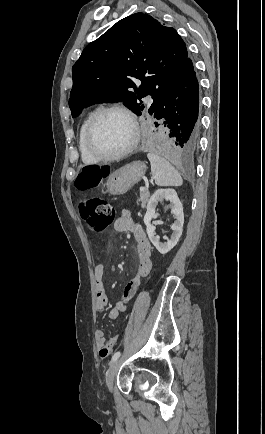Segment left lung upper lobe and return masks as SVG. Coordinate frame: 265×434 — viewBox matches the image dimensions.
Instances as JSON below:
<instances>
[{
    "label": "left lung upper lobe",
    "instance_id": "left-lung-upper-lobe-1",
    "mask_svg": "<svg viewBox=\"0 0 265 434\" xmlns=\"http://www.w3.org/2000/svg\"><path fill=\"white\" fill-rule=\"evenodd\" d=\"M188 57L174 28L141 12L121 19L87 45L73 65L72 117L84 107L104 102H123L141 115V98L147 95L154 100L152 114ZM136 79L142 82L139 87Z\"/></svg>",
    "mask_w": 265,
    "mask_h": 434
}]
</instances>
